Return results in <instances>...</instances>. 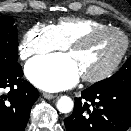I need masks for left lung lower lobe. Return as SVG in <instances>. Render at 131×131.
I'll use <instances>...</instances> for the list:
<instances>
[{"label":"left lung lower lobe","mask_w":131,"mask_h":131,"mask_svg":"<svg viewBox=\"0 0 131 131\" xmlns=\"http://www.w3.org/2000/svg\"><path fill=\"white\" fill-rule=\"evenodd\" d=\"M67 131H126L131 126V90L89 87L64 119Z\"/></svg>","instance_id":"0a47b994"}]
</instances>
